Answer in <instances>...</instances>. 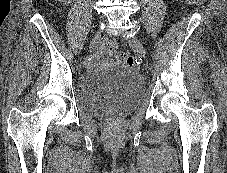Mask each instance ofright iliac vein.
Masks as SVG:
<instances>
[{
  "mask_svg": "<svg viewBox=\"0 0 227 173\" xmlns=\"http://www.w3.org/2000/svg\"><path fill=\"white\" fill-rule=\"evenodd\" d=\"M100 45V35L99 34H95L91 43H90V51H94L98 48V46Z\"/></svg>",
  "mask_w": 227,
  "mask_h": 173,
  "instance_id": "1",
  "label": "right iliac vein"
}]
</instances>
